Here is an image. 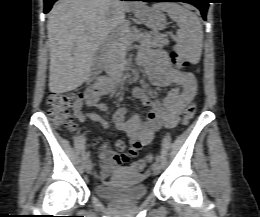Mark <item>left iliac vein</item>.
Instances as JSON below:
<instances>
[{
	"instance_id": "1",
	"label": "left iliac vein",
	"mask_w": 260,
	"mask_h": 217,
	"mask_svg": "<svg viewBox=\"0 0 260 217\" xmlns=\"http://www.w3.org/2000/svg\"><path fill=\"white\" fill-rule=\"evenodd\" d=\"M160 164L159 162H154L153 165H152V171L155 175L159 174L160 173Z\"/></svg>"
}]
</instances>
